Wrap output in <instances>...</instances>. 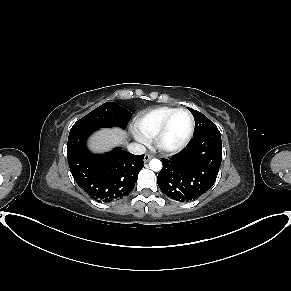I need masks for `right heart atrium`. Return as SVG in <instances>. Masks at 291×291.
Returning a JSON list of instances; mask_svg holds the SVG:
<instances>
[{
    "instance_id": "obj_1",
    "label": "right heart atrium",
    "mask_w": 291,
    "mask_h": 291,
    "mask_svg": "<svg viewBox=\"0 0 291 291\" xmlns=\"http://www.w3.org/2000/svg\"><path fill=\"white\" fill-rule=\"evenodd\" d=\"M135 136H136V138H137L139 141H141V142H144V141H145V138H144L142 135L136 133Z\"/></svg>"
}]
</instances>
